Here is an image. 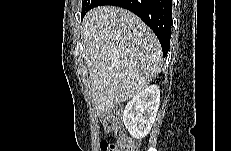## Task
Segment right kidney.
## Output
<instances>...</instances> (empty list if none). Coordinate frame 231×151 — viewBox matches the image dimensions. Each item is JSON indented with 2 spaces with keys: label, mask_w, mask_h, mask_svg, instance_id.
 <instances>
[{
  "label": "right kidney",
  "mask_w": 231,
  "mask_h": 151,
  "mask_svg": "<svg viewBox=\"0 0 231 151\" xmlns=\"http://www.w3.org/2000/svg\"><path fill=\"white\" fill-rule=\"evenodd\" d=\"M160 103L159 86L153 84L130 100L123 111V122L131 136L145 137L155 121Z\"/></svg>",
  "instance_id": "obj_1"
}]
</instances>
